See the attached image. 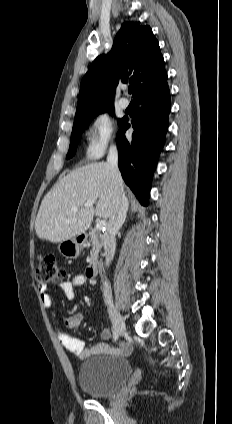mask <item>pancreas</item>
I'll list each match as a JSON object with an SVG mask.
<instances>
[{
    "label": "pancreas",
    "instance_id": "obj_1",
    "mask_svg": "<svg viewBox=\"0 0 232 424\" xmlns=\"http://www.w3.org/2000/svg\"><path fill=\"white\" fill-rule=\"evenodd\" d=\"M90 238L92 242V250L90 251V259L93 260L97 257L99 250L102 247L103 240L102 235L96 229H92L90 232Z\"/></svg>",
    "mask_w": 232,
    "mask_h": 424
}]
</instances>
